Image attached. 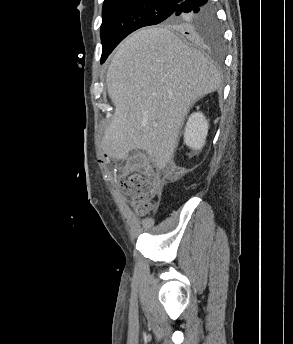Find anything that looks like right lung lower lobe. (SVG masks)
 <instances>
[{
    "instance_id": "98d812e1",
    "label": "right lung lower lobe",
    "mask_w": 293,
    "mask_h": 344,
    "mask_svg": "<svg viewBox=\"0 0 293 344\" xmlns=\"http://www.w3.org/2000/svg\"><path fill=\"white\" fill-rule=\"evenodd\" d=\"M208 0H182L177 4L175 15L192 14L197 12H208L212 6L207 3Z\"/></svg>"
}]
</instances>
